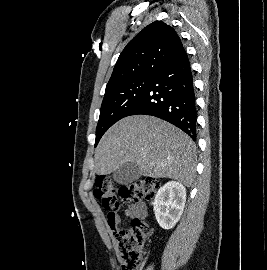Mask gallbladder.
I'll return each mask as SVG.
<instances>
[{"instance_id": "bac80fb5", "label": "gallbladder", "mask_w": 267, "mask_h": 270, "mask_svg": "<svg viewBox=\"0 0 267 270\" xmlns=\"http://www.w3.org/2000/svg\"><path fill=\"white\" fill-rule=\"evenodd\" d=\"M141 176L140 170L135 163L121 165L113 172V179L121 185L130 184Z\"/></svg>"}]
</instances>
